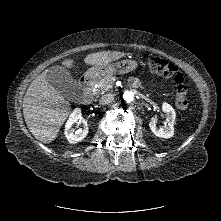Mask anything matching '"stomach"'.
Returning <instances> with one entry per match:
<instances>
[{
    "label": "stomach",
    "instance_id": "stomach-1",
    "mask_svg": "<svg viewBox=\"0 0 221 221\" xmlns=\"http://www.w3.org/2000/svg\"><path fill=\"white\" fill-rule=\"evenodd\" d=\"M137 66L138 63L135 60L126 59L102 67L94 66L86 72V76L93 80H98L108 75L132 72Z\"/></svg>",
    "mask_w": 221,
    "mask_h": 221
}]
</instances>
